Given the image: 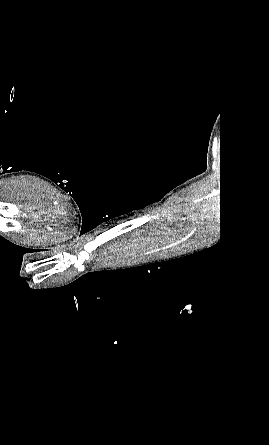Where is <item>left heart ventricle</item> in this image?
Instances as JSON below:
<instances>
[{"instance_id":"obj_1","label":"left heart ventricle","mask_w":269,"mask_h":445,"mask_svg":"<svg viewBox=\"0 0 269 445\" xmlns=\"http://www.w3.org/2000/svg\"><path fill=\"white\" fill-rule=\"evenodd\" d=\"M50 233H52V235H55L54 232H47V233H45V236H42V238L48 236V234H50Z\"/></svg>"}]
</instances>
